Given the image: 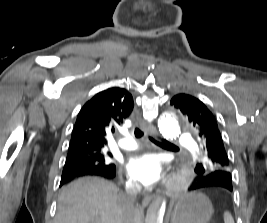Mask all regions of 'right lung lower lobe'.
<instances>
[{
	"label": "right lung lower lobe",
	"instance_id": "1",
	"mask_svg": "<svg viewBox=\"0 0 267 223\" xmlns=\"http://www.w3.org/2000/svg\"><path fill=\"white\" fill-rule=\"evenodd\" d=\"M99 176L104 177L107 179H112L116 175V169H109V170H95L91 172H85V173H77V172H68V173H62L60 186L64 183H67L71 181L74 178L81 177V176Z\"/></svg>",
	"mask_w": 267,
	"mask_h": 223
}]
</instances>
